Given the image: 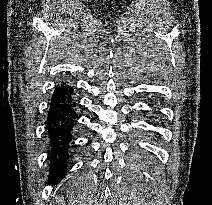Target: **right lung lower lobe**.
<instances>
[{
    "label": "right lung lower lobe",
    "mask_w": 212,
    "mask_h": 205,
    "mask_svg": "<svg viewBox=\"0 0 212 205\" xmlns=\"http://www.w3.org/2000/svg\"><path fill=\"white\" fill-rule=\"evenodd\" d=\"M73 87L62 82L55 87L50 102L46 129L51 143L49 180L58 182L67 169L68 149L76 125V102Z\"/></svg>",
    "instance_id": "1"
}]
</instances>
